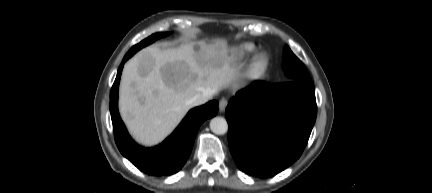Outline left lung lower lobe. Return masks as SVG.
Returning <instances> with one entry per match:
<instances>
[{
  "instance_id": "0a47b994",
  "label": "left lung lower lobe",
  "mask_w": 432,
  "mask_h": 193,
  "mask_svg": "<svg viewBox=\"0 0 432 193\" xmlns=\"http://www.w3.org/2000/svg\"><path fill=\"white\" fill-rule=\"evenodd\" d=\"M226 112L229 148L238 167L271 177L302 154L316 119L315 89L311 81L255 82L236 93Z\"/></svg>"
}]
</instances>
